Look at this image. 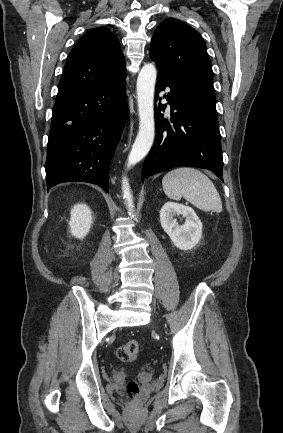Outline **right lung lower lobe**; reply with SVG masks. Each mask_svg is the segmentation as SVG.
I'll return each mask as SVG.
<instances>
[{
  "label": "right lung lower lobe",
  "instance_id": "right-lung-lower-lobe-1",
  "mask_svg": "<svg viewBox=\"0 0 283 433\" xmlns=\"http://www.w3.org/2000/svg\"><path fill=\"white\" fill-rule=\"evenodd\" d=\"M125 78L56 98L45 165L48 190L62 182L81 181L108 192L110 161L128 112Z\"/></svg>",
  "mask_w": 283,
  "mask_h": 433
}]
</instances>
